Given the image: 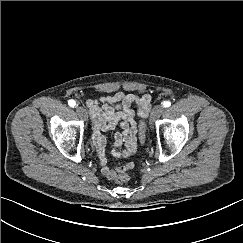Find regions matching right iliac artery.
Masks as SVG:
<instances>
[{
    "label": "right iliac artery",
    "mask_w": 243,
    "mask_h": 243,
    "mask_svg": "<svg viewBox=\"0 0 243 243\" xmlns=\"http://www.w3.org/2000/svg\"><path fill=\"white\" fill-rule=\"evenodd\" d=\"M69 106L74 107L76 106V102L74 100H69L68 101Z\"/></svg>",
    "instance_id": "obj_1"
}]
</instances>
